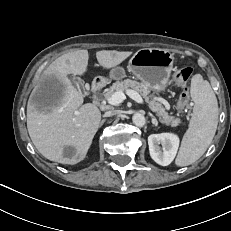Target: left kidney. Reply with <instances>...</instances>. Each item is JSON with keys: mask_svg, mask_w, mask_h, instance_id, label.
I'll use <instances>...</instances> for the list:
<instances>
[{"mask_svg": "<svg viewBox=\"0 0 231 231\" xmlns=\"http://www.w3.org/2000/svg\"><path fill=\"white\" fill-rule=\"evenodd\" d=\"M148 145L151 158L157 164L167 166L176 156L179 137L172 133L151 134L148 137Z\"/></svg>", "mask_w": 231, "mask_h": 231, "instance_id": "5707ae66", "label": "left kidney"}]
</instances>
